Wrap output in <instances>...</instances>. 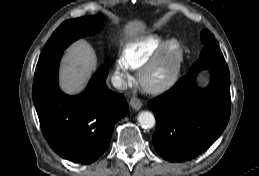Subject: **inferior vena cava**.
<instances>
[{"mask_svg":"<svg viewBox=\"0 0 259 176\" xmlns=\"http://www.w3.org/2000/svg\"><path fill=\"white\" fill-rule=\"evenodd\" d=\"M112 85L118 90H126L128 85L127 82L120 76H113L111 79Z\"/></svg>","mask_w":259,"mask_h":176,"instance_id":"inferior-vena-cava-1","label":"inferior vena cava"}]
</instances>
